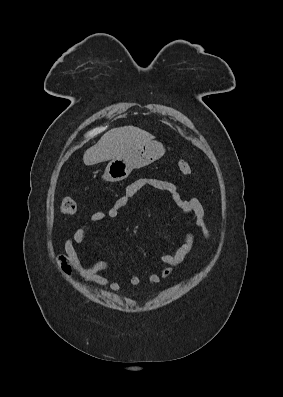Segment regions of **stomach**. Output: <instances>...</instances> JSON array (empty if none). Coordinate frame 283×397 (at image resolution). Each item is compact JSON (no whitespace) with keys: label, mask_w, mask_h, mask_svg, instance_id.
<instances>
[{"label":"stomach","mask_w":283,"mask_h":397,"mask_svg":"<svg viewBox=\"0 0 283 397\" xmlns=\"http://www.w3.org/2000/svg\"><path fill=\"white\" fill-rule=\"evenodd\" d=\"M164 153L165 149L161 143L156 141L145 143L124 158L112 159L106 166L103 178L110 182L121 181L127 178L133 169L155 162Z\"/></svg>","instance_id":"obj_1"}]
</instances>
